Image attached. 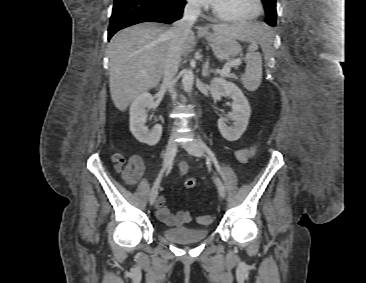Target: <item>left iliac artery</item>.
I'll use <instances>...</instances> for the list:
<instances>
[{
    "instance_id": "44dca946",
    "label": "left iliac artery",
    "mask_w": 366,
    "mask_h": 283,
    "mask_svg": "<svg viewBox=\"0 0 366 283\" xmlns=\"http://www.w3.org/2000/svg\"><path fill=\"white\" fill-rule=\"evenodd\" d=\"M198 141L201 145V148L204 150V152L206 154H208V156L210 157V159L213 161L217 171L219 172L220 175H222V171H221V167L218 163V160L215 157V154L212 152V150L202 141L201 138H198Z\"/></svg>"
}]
</instances>
